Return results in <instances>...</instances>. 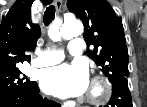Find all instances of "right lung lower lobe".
Instances as JSON below:
<instances>
[{
    "mask_svg": "<svg viewBox=\"0 0 147 107\" xmlns=\"http://www.w3.org/2000/svg\"><path fill=\"white\" fill-rule=\"evenodd\" d=\"M60 104L49 101L39 94L38 86L32 91L15 94L0 101V107H59Z\"/></svg>",
    "mask_w": 147,
    "mask_h": 107,
    "instance_id": "1",
    "label": "right lung lower lobe"
}]
</instances>
